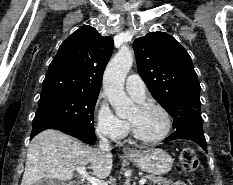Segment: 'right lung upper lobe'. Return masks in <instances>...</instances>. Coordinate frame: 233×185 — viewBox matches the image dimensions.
Wrapping results in <instances>:
<instances>
[{"mask_svg": "<svg viewBox=\"0 0 233 185\" xmlns=\"http://www.w3.org/2000/svg\"><path fill=\"white\" fill-rule=\"evenodd\" d=\"M112 51V38L101 36L91 26L81 27L60 45L50 63L42 91L99 93Z\"/></svg>", "mask_w": 233, "mask_h": 185, "instance_id": "obj_1", "label": "right lung upper lobe"}]
</instances>
